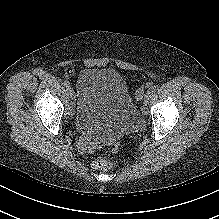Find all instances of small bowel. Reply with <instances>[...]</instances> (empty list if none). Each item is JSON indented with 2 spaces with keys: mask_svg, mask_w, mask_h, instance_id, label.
Masks as SVG:
<instances>
[{
  "mask_svg": "<svg viewBox=\"0 0 219 219\" xmlns=\"http://www.w3.org/2000/svg\"><path fill=\"white\" fill-rule=\"evenodd\" d=\"M82 146L87 152H91V153L96 152L100 148V145L96 143L87 145L86 143L82 142Z\"/></svg>",
  "mask_w": 219,
  "mask_h": 219,
  "instance_id": "c3829d8e",
  "label": "small bowel"
}]
</instances>
